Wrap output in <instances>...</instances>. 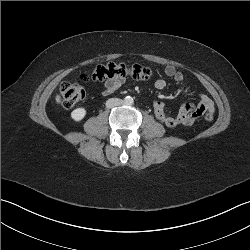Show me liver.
Masks as SVG:
<instances>
[{
	"mask_svg": "<svg viewBox=\"0 0 250 250\" xmlns=\"http://www.w3.org/2000/svg\"><path fill=\"white\" fill-rule=\"evenodd\" d=\"M55 100H56L57 103H60V102H61V97H60V95H56Z\"/></svg>",
	"mask_w": 250,
	"mask_h": 250,
	"instance_id": "1",
	"label": "liver"
}]
</instances>
